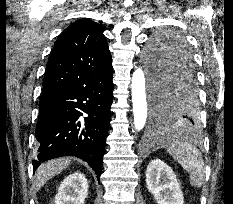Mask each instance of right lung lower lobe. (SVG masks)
Wrapping results in <instances>:
<instances>
[{
	"instance_id": "obj_1",
	"label": "right lung lower lobe",
	"mask_w": 233,
	"mask_h": 204,
	"mask_svg": "<svg viewBox=\"0 0 233 204\" xmlns=\"http://www.w3.org/2000/svg\"><path fill=\"white\" fill-rule=\"evenodd\" d=\"M113 68L86 74L69 87L42 96L39 110L55 116L49 127L36 135L41 162L75 156L85 160L100 178L108 133L113 92ZM88 114L80 120L83 113Z\"/></svg>"
}]
</instances>
